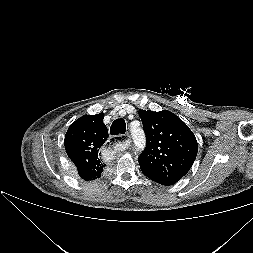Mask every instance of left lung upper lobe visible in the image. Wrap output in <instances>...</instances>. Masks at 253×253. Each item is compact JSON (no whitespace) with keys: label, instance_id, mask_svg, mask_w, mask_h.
I'll use <instances>...</instances> for the list:
<instances>
[{"label":"left lung upper lobe","instance_id":"left-lung-upper-lobe-1","mask_svg":"<svg viewBox=\"0 0 253 253\" xmlns=\"http://www.w3.org/2000/svg\"><path fill=\"white\" fill-rule=\"evenodd\" d=\"M138 113L147 138L146 148L138 158L143 174L161 185L178 182L196 159L195 135L170 111Z\"/></svg>","mask_w":253,"mask_h":253}]
</instances>
